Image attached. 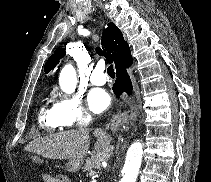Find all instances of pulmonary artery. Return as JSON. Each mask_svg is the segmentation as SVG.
<instances>
[{
  "instance_id": "e3ab8cb5",
  "label": "pulmonary artery",
  "mask_w": 211,
  "mask_h": 182,
  "mask_svg": "<svg viewBox=\"0 0 211 182\" xmlns=\"http://www.w3.org/2000/svg\"><path fill=\"white\" fill-rule=\"evenodd\" d=\"M90 81L92 84L100 86L104 85L106 82V74L104 72V67L102 65H98L92 72Z\"/></svg>"
}]
</instances>
